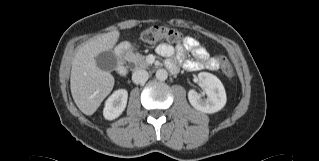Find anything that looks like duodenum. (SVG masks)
<instances>
[{
    "mask_svg": "<svg viewBox=\"0 0 319 161\" xmlns=\"http://www.w3.org/2000/svg\"><path fill=\"white\" fill-rule=\"evenodd\" d=\"M132 48V44H122L116 50L115 58L117 61V71L120 76H124L127 73L126 56Z\"/></svg>",
    "mask_w": 319,
    "mask_h": 161,
    "instance_id": "1",
    "label": "duodenum"
}]
</instances>
